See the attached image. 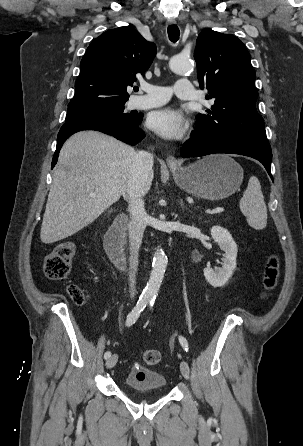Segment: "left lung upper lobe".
<instances>
[{
  "label": "left lung upper lobe",
  "mask_w": 303,
  "mask_h": 446,
  "mask_svg": "<svg viewBox=\"0 0 303 446\" xmlns=\"http://www.w3.org/2000/svg\"><path fill=\"white\" fill-rule=\"evenodd\" d=\"M194 58L201 89L214 105L197 115L196 130L212 135L268 141L264 120L256 110L258 92L250 54L234 35L206 29L196 42Z\"/></svg>",
  "instance_id": "left-lung-upper-lobe-1"
}]
</instances>
